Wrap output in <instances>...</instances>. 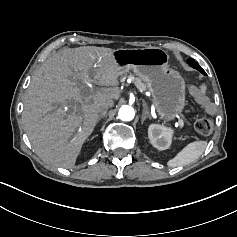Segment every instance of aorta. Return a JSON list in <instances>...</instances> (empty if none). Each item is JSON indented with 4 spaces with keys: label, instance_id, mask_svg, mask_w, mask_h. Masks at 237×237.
Returning <instances> with one entry per match:
<instances>
[{
    "label": "aorta",
    "instance_id": "762f6f07",
    "mask_svg": "<svg viewBox=\"0 0 237 237\" xmlns=\"http://www.w3.org/2000/svg\"><path fill=\"white\" fill-rule=\"evenodd\" d=\"M118 116L122 121H131L135 116V112L131 106L123 105L119 109Z\"/></svg>",
    "mask_w": 237,
    "mask_h": 237
}]
</instances>
